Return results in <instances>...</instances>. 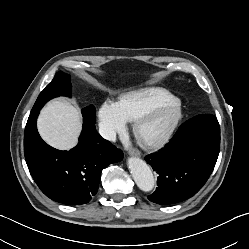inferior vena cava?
Segmentation results:
<instances>
[{
	"label": "inferior vena cava",
	"mask_w": 249,
	"mask_h": 249,
	"mask_svg": "<svg viewBox=\"0 0 249 249\" xmlns=\"http://www.w3.org/2000/svg\"><path fill=\"white\" fill-rule=\"evenodd\" d=\"M100 135L109 140V141H116V132L113 128L108 127L106 125H101L99 128Z\"/></svg>",
	"instance_id": "1"
}]
</instances>
